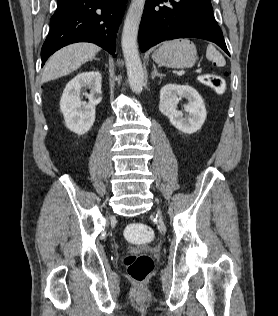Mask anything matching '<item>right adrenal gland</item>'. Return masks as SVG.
Listing matches in <instances>:
<instances>
[{"mask_svg": "<svg viewBox=\"0 0 278 316\" xmlns=\"http://www.w3.org/2000/svg\"><path fill=\"white\" fill-rule=\"evenodd\" d=\"M95 60H100V59H98V58H94Z\"/></svg>", "mask_w": 278, "mask_h": 316, "instance_id": "1", "label": "right adrenal gland"}]
</instances>
